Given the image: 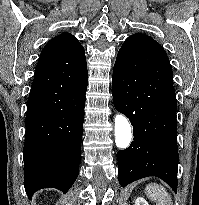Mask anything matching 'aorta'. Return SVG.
Masks as SVG:
<instances>
[{
    "label": "aorta",
    "mask_w": 199,
    "mask_h": 205,
    "mask_svg": "<svg viewBox=\"0 0 199 205\" xmlns=\"http://www.w3.org/2000/svg\"><path fill=\"white\" fill-rule=\"evenodd\" d=\"M114 121L116 146L120 149H126L130 145L132 138L130 123L122 114H117Z\"/></svg>",
    "instance_id": "obj_1"
}]
</instances>
